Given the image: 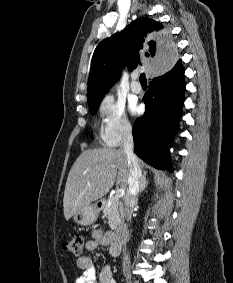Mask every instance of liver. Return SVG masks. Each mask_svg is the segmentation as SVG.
I'll use <instances>...</instances> for the list:
<instances>
[{"mask_svg": "<svg viewBox=\"0 0 233 283\" xmlns=\"http://www.w3.org/2000/svg\"><path fill=\"white\" fill-rule=\"evenodd\" d=\"M138 163L141 168L144 166L141 160ZM128 176L123 151L106 148L83 151L68 174L63 198L65 219L102 198L115 183L127 190Z\"/></svg>", "mask_w": 233, "mask_h": 283, "instance_id": "1", "label": "liver"}]
</instances>
